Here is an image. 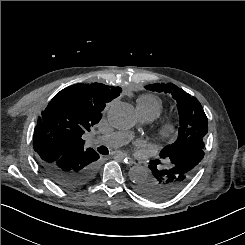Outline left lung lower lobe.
Wrapping results in <instances>:
<instances>
[{
    "label": "left lung lower lobe",
    "instance_id": "obj_1",
    "mask_svg": "<svg viewBox=\"0 0 245 245\" xmlns=\"http://www.w3.org/2000/svg\"><path fill=\"white\" fill-rule=\"evenodd\" d=\"M203 157V149L187 148L166 158L165 168L157 166L159 160L154 161L149 165L152 175L137 183V191L154 201L175 196L190 182Z\"/></svg>",
    "mask_w": 245,
    "mask_h": 245
}]
</instances>
